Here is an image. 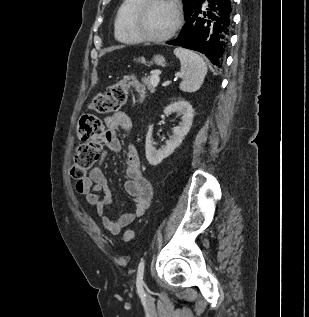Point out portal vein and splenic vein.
Segmentation results:
<instances>
[{"label": "portal vein and splenic vein", "mask_w": 309, "mask_h": 317, "mask_svg": "<svg viewBox=\"0 0 309 317\" xmlns=\"http://www.w3.org/2000/svg\"><path fill=\"white\" fill-rule=\"evenodd\" d=\"M159 74H160V71L159 70H156L154 72V75L151 76V83L154 85V86H157L159 81H160V78H159Z\"/></svg>", "instance_id": "18ae733b"}]
</instances>
